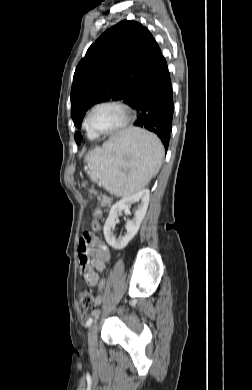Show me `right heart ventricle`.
Masks as SVG:
<instances>
[{
	"mask_svg": "<svg viewBox=\"0 0 252 390\" xmlns=\"http://www.w3.org/2000/svg\"><path fill=\"white\" fill-rule=\"evenodd\" d=\"M85 128H86V131H87V136H88L90 139H95V138L98 137L96 134H94L93 132H91L90 130L87 129V127H86V121H85Z\"/></svg>",
	"mask_w": 252,
	"mask_h": 390,
	"instance_id": "obj_1",
	"label": "right heart ventricle"
}]
</instances>
